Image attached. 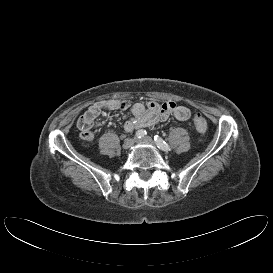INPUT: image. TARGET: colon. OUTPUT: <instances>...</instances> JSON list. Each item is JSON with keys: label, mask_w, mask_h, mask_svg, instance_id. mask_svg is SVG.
Here are the masks:
<instances>
[{"label": "colon", "mask_w": 273, "mask_h": 273, "mask_svg": "<svg viewBox=\"0 0 273 273\" xmlns=\"http://www.w3.org/2000/svg\"><path fill=\"white\" fill-rule=\"evenodd\" d=\"M193 122L199 132L205 133L207 131L208 123L202 115H195L193 118Z\"/></svg>", "instance_id": "1"}]
</instances>
